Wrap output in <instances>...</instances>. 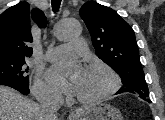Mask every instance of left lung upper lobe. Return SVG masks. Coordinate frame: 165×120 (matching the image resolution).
<instances>
[{
  "mask_svg": "<svg viewBox=\"0 0 165 120\" xmlns=\"http://www.w3.org/2000/svg\"><path fill=\"white\" fill-rule=\"evenodd\" d=\"M79 13L91 34L96 55L122 79L125 88L117 93H137L149 101L148 86L130 25L116 11L96 2L85 3Z\"/></svg>",
  "mask_w": 165,
  "mask_h": 120,
  "instance_id": "1",
  "label": "left lung upper lobe"
}]
</instances>
